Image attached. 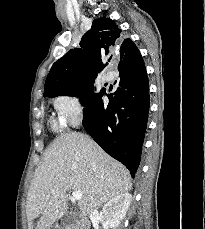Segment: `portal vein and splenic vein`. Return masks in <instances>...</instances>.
<instances>
[{"instance_id":"portal-vein-and-splenic-vein-1","label":"portal vein and splenic vein","mask_w":205,"mask_h":229,"mask_svg":"<svg viewBox=\"0 0 205 229\" xmlns=\"http://www.w3.org/2000/svg\"><path fill=\"white\" fill-rule=\"evenodd\" d=\"M72 197L74 200H80L82 198V192L80 191H73Z\"/></svg>"}]
</instances>
